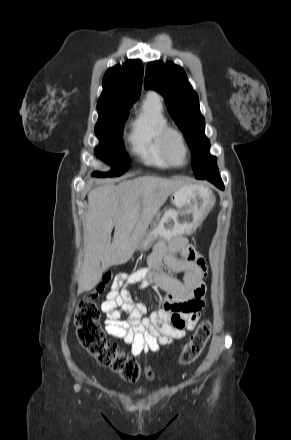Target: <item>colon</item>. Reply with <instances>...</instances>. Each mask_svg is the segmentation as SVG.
<instances>
[{"mask_svg":"<svg viewBox=\"0 0 291 440\" xmlns=\"http://www.w3.org/2000/svg\"><path fill=\"white\" fill-rule=\"evenodd\" d=\"M112 279L110 271H106L101 283L93 288L86 297L80 300L74 317L77 338L96 359L118 372L128 381H137L141 375L152 378L154 370L151 367L141 370L138 364L127 357L119 348L108 343L98 322L99 313L95 300L104 293V286ZM212 331L210 320H204L198 327L191 340L183 347L180 354L181 364H189L203 351Z\"/></svg>","mask_w":291,"mask_h":440,"instance_id":"1","label":"colon"}]
</instances>
